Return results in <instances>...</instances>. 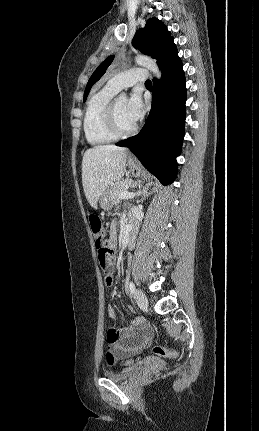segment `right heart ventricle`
Masks as SVG:
<instances>
[{
  "instance_id": "obj_1",
  "label": "right heart ventricle",
  "mask_w": 259,
  "mask_h": 431,
  "mask_svg": "<svg viewBox=\"0 0 259 431\" xmlns=\"http://www.w3.org/2000/svg\"><path fill=\"white\" fill-rule=\"evenodd\" d=\"M115 94L116 91L106 85L92 94L87 102L83 130L87 142L92 146L106 145L117 139L105 124V109Z\"/></svg>"
}]
</instances>
